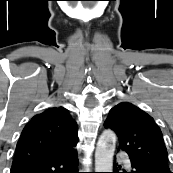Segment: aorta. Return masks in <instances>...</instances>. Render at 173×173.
Returning a JSON list of instances; mask_svg holds the SVG:
<instances>
[{
	"label": "aorta",
	"mask_w": 173,
	"mask_h": 173,
	"mask_svg": "<svg viewBox=\"0 0 173 173\" xmlns=\"http://www.w3.org/2000/svg\"><path fill=\"white\" fill-rule=\"evenodd\" d=\"M115 146V133L111 130H105L97 142L95 151V172H112Z\"/></svg>",
	"instance_id": "obj_1"
}]
</instances>
